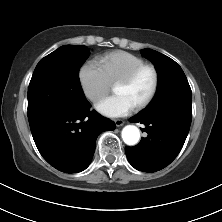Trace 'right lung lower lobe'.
Listing matches in <instances>:
<instances>
[{"label":"right lung lower lobe","mask_w":222,"mask_h":222,"mask_svg":"<svg viewBox=\"0 0 222 222\" xmlns=\"http://www.w3.org/2000/svg\"><path fill=\"white\" fill-rule=\"evenodd\" d=\"M91 105L72 109L43 108L28 112L30 129L43 158L64 173L85 170L99 134L114 130L115 123L90 111Z\"/></svg>","instance_id":"obj_1"}]
</instances>
